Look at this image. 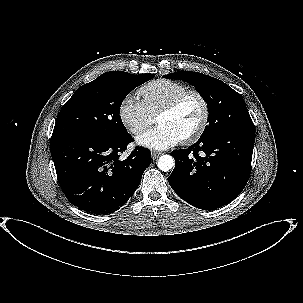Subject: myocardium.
Masks as SVG:
<instances>
[{
    "instance_id": "myocardium-1",
    "label": "myocardium",
    "mask_w": 303,
    "mask_h": 303,
    "mask_svg": "<svg viewBox=\"0 0 303 303\" xmlns=\"http://www.w3.org/2000/svg\"><path fill=\"white\" fill-rule=\"evenodd\" d=\"M189 96L197 97V99L199 100V102L202 106V115H201L200 122H199L198 126L196 127V129L181 139V141L184 143H193V142L197 141L202 136V134L205 132V130L207 128V125L209 122V116H210V109H209L208 102H207L206 98L203 96V94L197 90H186V91L178 94L177 96H175L164 107H162L156 115V118H157L160 115L168 114V113L175 111L180 106V104Z\"/></svg>"
}]
</instances>
